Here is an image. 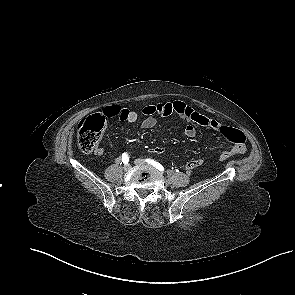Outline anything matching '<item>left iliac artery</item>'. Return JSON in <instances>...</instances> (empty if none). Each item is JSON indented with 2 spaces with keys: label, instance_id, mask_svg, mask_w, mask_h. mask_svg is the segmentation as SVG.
Listing matches in <instances>:
<instances>
[{
  "label": "left iliac artery",
  "instance_id": "obj_1",
  "mask_svg": "<svg viewBox=\"0 0 295 295\" xmlns=\"http://www.w3.org/2000/svg\"><path fill=\"white\" fill-rule=\"evenodd\" d=\"M146 162H148L149 164H151L152 166H154L159 171H161V172L164 171V167L159 162L154 161L152 159H146Z\"/></svg>",
  "mask_w": 295,
  "mask_h": 295
}]
</instances>
